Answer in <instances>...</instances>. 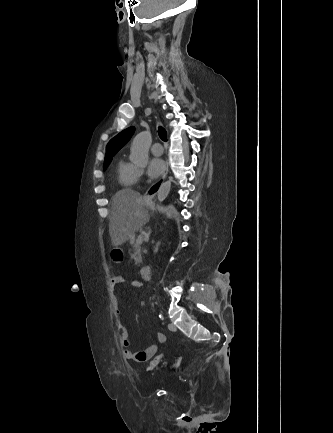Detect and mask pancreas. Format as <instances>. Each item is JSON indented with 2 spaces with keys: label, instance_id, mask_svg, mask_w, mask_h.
<instances>
[{
  "label": "pancreas",
  "instance_id": "1",
  "mask_svg": "<svg viewBox=\"0 0 333 433\" xmlns=\"http://www.w3.org/2000/svg\"><path fill=\"white\" fill-rule=\"evenodd\" d=\"M130 243H131L132 248L134 250V253L131 255V257L135 260V264L140 265V263L142 262L141 244L137 242V238H131Z\"/></svg>",
  "mask_w": 333,
  "mask_h": 433
}]
</instances>
